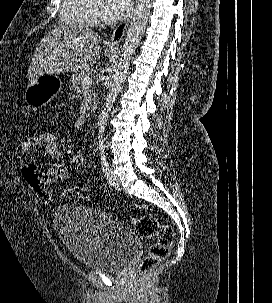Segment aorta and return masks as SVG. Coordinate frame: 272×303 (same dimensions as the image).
I'll return each mask as SVG.
<instances>
[{"label": "aorta", "mask_w": 272, "mask_h": 303, "mask_svg": "<svg viewBox=\"0 0 272 303\" xmlns=\"http://www.w3.org/2000/svg\"><path fill=\"white\" fill-rule=\"evenodd\" d=\"M152 0H137L132 20L130 22L127 35L121 50L119 64L117 66L116 74L113 78L111 89L105 99L102 111L99 115L98 124V140L103 144V135L109 118V113L113 107L116 97L123 88L129 66L130 60L137 49L147 26L150 15Z\"/></svg>", "instance_id": "aorta-1"}]
</instances>
